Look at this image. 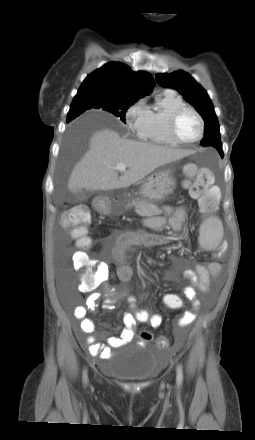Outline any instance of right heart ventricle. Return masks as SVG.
Instances as JSON below:
<instances>
[{"label":"right heart ventricle","mask_w":255,"mask_h":440,"mask_svg":"<svg viewBox=\"0 0 255 440\" xmlns=\"http://www.w3.org/2000/svg\"><path fill=\"white\" fill-rule=\"evenodd\" d=\"M186 105L183 98L172 90L164 91L156 100L153 108H147V116L139 137L145 141L174 146L170 137L168 120L177 108Z\"/></svg>","instance_id":"e07e8e85"}]
</instances>
